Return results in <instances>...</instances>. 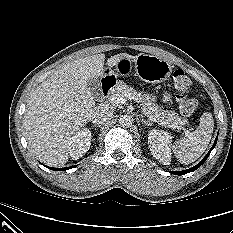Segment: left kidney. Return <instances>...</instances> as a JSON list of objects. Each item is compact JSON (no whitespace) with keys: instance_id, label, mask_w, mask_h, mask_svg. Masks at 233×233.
Returning a JSON list of instances; mask_svg holds the SVG:
<instances>
[{"instance_id":"1","label":"left kidney","mask_w":233,"mask_h":233,"mask_svg":"<svg viewBox=\"0 0 233 233\" xmlns=\"http://www.w3.org/2000/svg\"><path fill=\"white\" fill-rule=\"evenodd\" d=\"M148 144L151 154L162 164L171 162V136L163 130H151L148 134Z\"/></svg>"}]
</instances>
